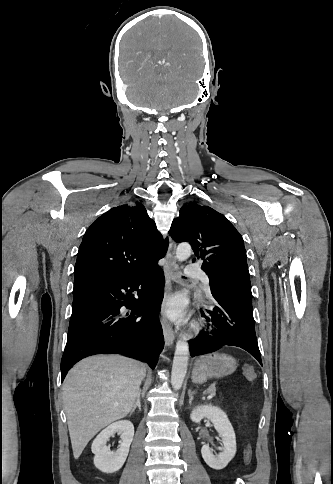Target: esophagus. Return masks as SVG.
<instances>
[{
    "label": "esophagus",
    "instance_id": "obj_1",
    "mask_svg": "<svg viewBox=\"0 0 333 484\" xmlns=\"http://www.w3.org/2000/svg\"><path fill=\"white\" fill-rule=\"evenodd\" d=\"M175 248H176L175 243L173 241H170L168 251H167V255H166V264H165V267H164L166 287H165V293H164V298H163V303H162V312H163L164 306H165V304H166V302L169 299L170 294H171L172 280L177 277V273H176L177 264H176V257H175ZM161 325H162V329H163V335H164L165 343L168 347H171L174 343L175 336H174L172 326L167 321L164 314H163L162 319H161Z\"/></svg>",
    "mask_w": 333,
    "mask_h": 484
}]
</instances>
